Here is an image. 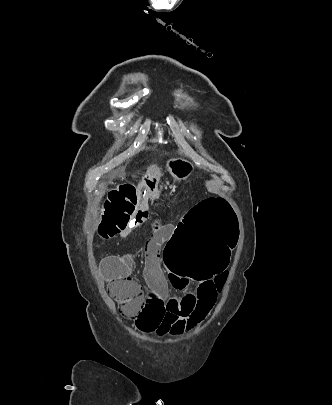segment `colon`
<instances>
[{
    "label": "colon",
    "mask_w": 332,
    "mask_h": 405,
    "mask_svg": "<svg viewBox=\"0 0 332 405\" xmlns=\"http://www.w3.org/2000/svg\"><path fill=\"white\" fill-rule=\"evenodd\" d=\"M138 185L120 184L108 193L98 231L103 238H113L129 229L135 219ZM223 197H200V202L189 205L186 220H176L168 248H164V268L169 275H185L186 281H209L215 275L212 288L219 293L231 267L228 257L235 256L240 243L237 212ZM109 292L126 316L137 317L143 294L130 277L112 280Z\"/></svg>",
    "instance_id": "5ec220e1"
}]
</instances>
